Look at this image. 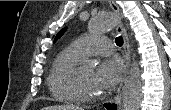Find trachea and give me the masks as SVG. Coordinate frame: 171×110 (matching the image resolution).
I'll list each match as a JSON object with an SVG mask.
<instances>
[{
  "label": "trachea",
  "instance_id": "obj_1",
  "mask_svg": "<svg viewBox=\"0 0 171 110\" xmlns=\"http://www.w3.org/2000/svg\"><path fill=\"white\" fill-rule=\"evenodd\" d=\"M115 43L117 46H122L123 45V38L122 36H119L115 39Z\"/></svg>",
  "mask_w": 171,
  "mask_h": 110
}]
</instances>
